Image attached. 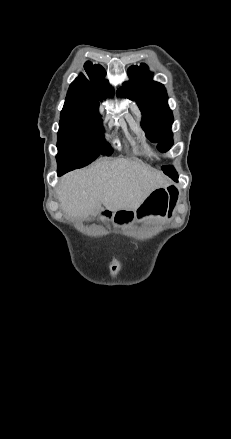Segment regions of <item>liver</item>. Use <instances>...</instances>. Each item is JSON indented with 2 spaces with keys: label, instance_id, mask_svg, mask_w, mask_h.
I'll list each match as a JSON object with an SVG mask.
<instances>
[{
  "label": "liver",
  "instance_id": "1",
  "mask_svg": "<svg viewBox=\"0 0 231 439\" xmlns=\"http://www.w3.org/2000/svg\"><path fill=\"white\" fill-rule=\"evenodd\" d=\"M168 184L163 173L117 158L66 174L56 192L66 214L85 219L102 204L113 211L136 209L153 190Z\"/></svg>",
  "mask_w": 231,
  "mask_h": 439
}]
</instances>
